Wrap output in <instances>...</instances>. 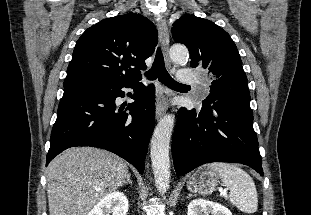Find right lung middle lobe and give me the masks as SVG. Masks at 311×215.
Returning a JSON list of instances; mask_svg holds the SVG:
<instances>
[{"instance_id":"obj_1","label":"right lung middle lobe","mask_w":311,"mask_h":215,"mask_svg":"<svg viewBox=\"0 0 311 215\" xmlns=\"http://www.w3.org/2000/svg\"><path fill=\"white\" fill-rule=\"evenodd\" d=\"M87 84H75V85H69V86H64V88H69V87H84L86 86Z\"/></svg>"}]
</instances>
